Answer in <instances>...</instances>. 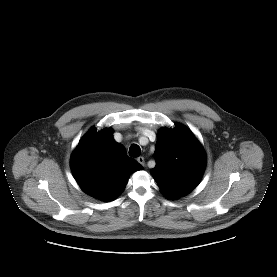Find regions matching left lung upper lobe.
<instances>
[{"mask_svg":"<svg viewBox=\"0 0 277 277\" xmlns=\"http://www.w3.org/2000/svg\"><path fill=\"white\" fill-rule=\"evenodd\" d=\"M154 157L156 166L151 173L168 199L191 192L199 183L206 164L201 144L181 124L159 132Z\"/></svg>","mask_w":277,"mask_h":277,"instance_id":"1","label":"left lung upper lobe"}]
</instances>
